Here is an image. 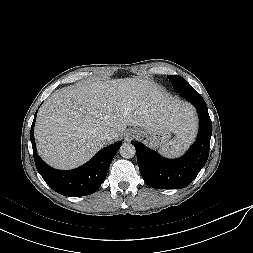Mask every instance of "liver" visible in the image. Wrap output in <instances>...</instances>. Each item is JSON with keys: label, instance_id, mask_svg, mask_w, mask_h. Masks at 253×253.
Listing matches in <instances>:
<instances>
[{"label": "liver", "instance_id": "liver-1", "mask_svg": "<svg viewBox=\"0 0 253 253\" xmlns=\"http://www.w3.org/2000/svg\"><path fill=\"white\" fill-rule=\"evenodd\" d=\"M193 117L185 105L138 78L87 82L56 90L41 106L35 138L39 155L58 169L91 159L102 147L101 131L112 143L127 126L159 127L177 133Z\"/></svg>", "mask_w": 253, "mask_h": 253}]
</instances>
